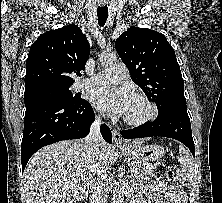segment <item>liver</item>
Listing matches in <instances>:
<instances>
[{
    "mask_svg": "<svg viewBox=\"0 0 222 203\" xmlns=\"http://www.w3.org/2000/svg\"><path fill=\"white\" fill-rule=\"evenodd\" d=\"M134 143H143L136 139ZM99 159H89L84 140H65L37 151L23 174L30 203H76L87 198L89 184L99 170H111L116 155L102 141Z\"/></svg>",
    "mask_w": 222,
    "mask_h": 203,
    "instance_id": "6515ba94",
    "label": "liver"
}]
</instances>
